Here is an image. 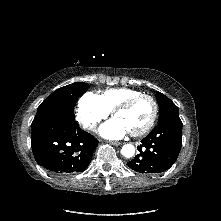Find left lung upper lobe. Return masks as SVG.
<instances>
[{
    "label": "left lung upper lobe",
    "mask_w": 221,
    "mask_h": 221,
    "mask_svg": "<svg viewBox=\"0 0 221 221\" xmlns=\"http://www.w3.org/2000/svg\"><path fill=\"white\" fill-rule=\"evenodd\" d=\"M157 102L159 105V123L170 120V119H180L178 107L166 97L164 94L156 93Z\"/></svg>",
    "instance_id": "obj_1"
}]
</instances>
